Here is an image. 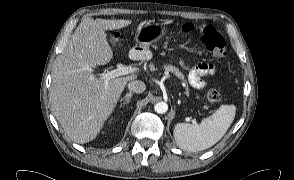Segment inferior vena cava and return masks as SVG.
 Instances as JSON below:
<instances>
[{"mask_svg": "<svg viewBox=\"0 0 294 180\" xmlns=\"http://www.w3.org/2000/svg\"><path fill=\"white\" fill-rule=\"evenodd\" d=\"M127 86L130 91L135 93H142L146 89L145 83L140 80L130 81Z\"/></svg>", "mask_w": 294, "mask_h": 180, "instance_id": "602c4592", "label": "inferior vena cava"}]
</instances>
